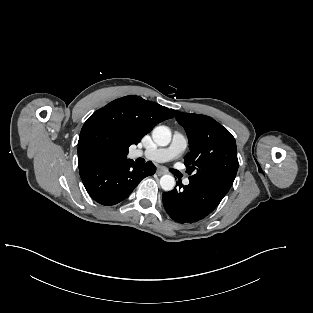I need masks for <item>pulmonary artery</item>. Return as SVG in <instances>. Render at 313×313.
Masks as SVG:
<instances>
[{
  "instance_id": "1",
  "label": "pulmonary artery",
  "mask_w": 313,
  "mask_h": 313,
  "mask_svg": "<svg viewBox=\"0 0 313 313\" xmlns=\"http://www.w3.org/2000/svg\"><path fill=\"white\" fill-rule=\"evenodd\" d=\"M187 138L180 132L173 134L172 141L168 147L157 148L152 150H137L134 152L135 156H144L147 159L156 162H165L172 160L180 156L187 148ZM183 183L188 185L190 183L189 178H185Z\"/></svg>"
}]
</instances>
